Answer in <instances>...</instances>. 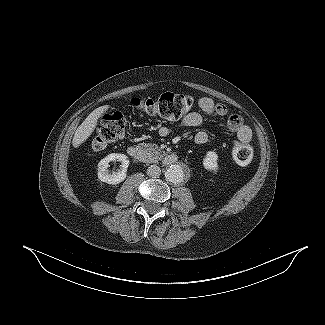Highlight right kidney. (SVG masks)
I'll return each mask as SVG.
<instances>
[{
	"mask_svg": "<svg viewBox=\"0 0 325 325\" xmlns=\"http://www.w3.org/2000/svg\"><path fill=\"white\" fill-rule=\"evenodd\" d=\"M120 161L121 169L118 172L109 173L108 167L111 161ZM129 166V159L126 155L120 153H112L101 159L98 163V178L102 182L108 184H119L125 180L127 176V168Z\"/></svg>",
	"mask_w": 325,
	"mask_h": 325,
	"instance_id": "ca27d5eb",
	"label": "right kidney"
}]
</instances>
